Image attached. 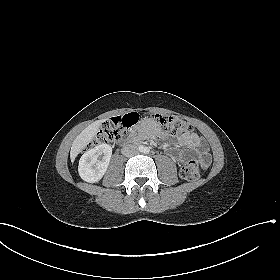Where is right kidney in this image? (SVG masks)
Returning a JSON list of instances; mask_svg holds the SVG:
<instances>
[{"instance_id": "ca27d5eb", "label": "right kidney", "mask_w": 280, "mask_h": 280, "mask_svg": "<svg viewBox=\"0 0 280 280\" xmlns=\"http://www.w3.org/2000/svg\"><path fill=\"white\" fill-rule=\"evenodd\" d=\"M111 156V146L104 143L86 151L78 166L81 179L89 183L100 181L107 171Z\"/></svg>"}]
</instances>
